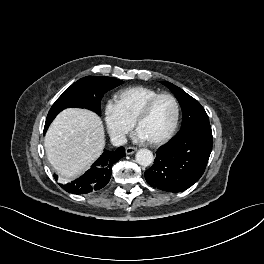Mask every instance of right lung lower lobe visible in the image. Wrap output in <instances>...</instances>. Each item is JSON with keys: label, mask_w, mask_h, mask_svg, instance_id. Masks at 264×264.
<instances>
[{"label": "right lung lower lobe", "mask_w": 264, "mask_h": 264, "mask_svg": "<svg viewBox=\"0 0 264 264\" xmlns=\"http://www.w3.org/2000/svg\"><path fill=\"white\" fill-rule=\"evenodd\" d=\"M47 128H44V133ZM125 156V149L119 147L116 151H106L98 158L92 167L83 176L75 181L60 186L72 194H87L100 190L106 186L111 178L112 166L115 162ZM57 180V176L54 175Z\"/></svg>", "instance_id": "right-lung-lower-lobe-1"}]
</instances>
